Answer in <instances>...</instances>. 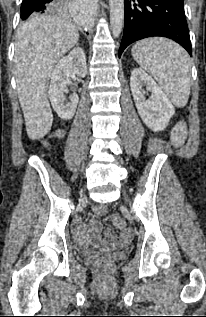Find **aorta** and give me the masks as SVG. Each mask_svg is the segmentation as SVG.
<instances>
[{"instance_id": "1", "label": "aorta", "mask_w": 206, "mask_h": 317, "mask_svg": "<svg viewBox=\"0 0 206 317\" xmlns=\"http://www.w3.org/2000/svg\"><path fill=\"white\" fill-rule=\"evenodd\" d=\"M110 25L114 37H118L124 25V0H109ZM80 22L84 25L91 24L90 17L84 15L80 17Z\"/></svg>"}]
</instances>
